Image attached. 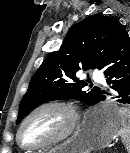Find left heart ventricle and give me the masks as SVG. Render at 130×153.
Returning <instances> with one entry per match:
<instances>
[{"label": "left heart ventricle", "instance_id": "b2bd125f", "mask_svg": "<svg viewBox=\"0 0 130 153\" xmlns=\"http://www.w3.org/2000/svg\"><path fill=\"white\" fill-rule=\"evenodd\" d=\"M67 113L59 108H47L36 113L24 126L21 140L26 145H38L60 135L68 125Z\"/></svg>", "mask_w": 130, "mask_h": 153}]
</instances>
